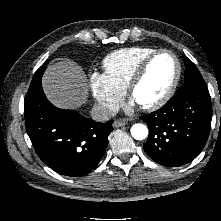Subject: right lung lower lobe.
I'll use <instances>...</instances> for the list:
<instances>
[{"label":"right lung lower lobe","mask_w":221,"mask_h":221,"mask_svg":"<svg viewBox=\"0 0 221 221\" xmlns=\"http://www.w3.org/2000/svg\"><path fill=\"white\" fill-rule=\"evenodd\" d=\"M26 130L40 159L59 174L83 176L100 162L113 131L110 120L97 123L73 110L53 106L41 79L32 81L25 97Z\"/></svg>","instance_id":"obj_1"}]
</instances>
